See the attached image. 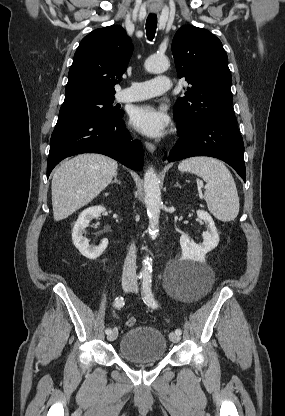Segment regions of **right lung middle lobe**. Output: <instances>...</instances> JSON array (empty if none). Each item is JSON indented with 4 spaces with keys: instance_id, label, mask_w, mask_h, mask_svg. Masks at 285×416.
Returning <instances> with one entry per match:
<instances>
[{
    "instance_id": "dd1d6c3e",
    "label": "right lung middle lobe",
    "mask_w": 285,
    "mask_h": 416,
    "mask_svg": "<svg viewBox=\"0 0 285 416\" xmlns=\"http://www.w3.org/2000/svg\"><path fill=\"white\" fill-rule=\"evenodd\" d=\"M114 97L65 99L59 111L58 121L83 118L115 119L124 115L113 106Z\"/></svg>"
}]
</instances>
